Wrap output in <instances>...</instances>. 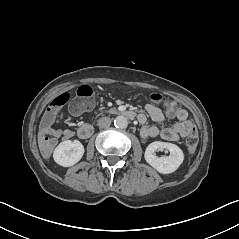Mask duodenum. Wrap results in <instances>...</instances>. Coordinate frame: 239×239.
<instances>
[{
	"label": "duodenum",
	"mask_w": 239,
	"mask_h": 239,
	"mask_svg": "<svg viewBox=\"0 0 239 239\" xmlns=\"http://www.w3.org/2000/svg\"><path fill=\"white\" fill-rule=\"evenodd\" d=\"M123 114L126 115L130 119H134L136 117V114L133 111L125 110L123 111ZM94 131V127L91 124H83L78 128V135L80 138L86 139L89 138Z\"/></svg>",
	"instance_id": "duodenum-1"
}]
</instances>
